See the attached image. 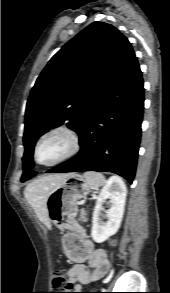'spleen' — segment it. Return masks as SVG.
<instances>
[{"label":"spleen","mask_w":170,"mask_h":293,"mask_svg":"<svg viewBox=\"0 0 170 293\" xmlns=\"http://www.w3.org/2000/svg\"><path fill=\"white\" fill-rule=\"evenodd\" d=\"M84 178L85 181L89 184V186L93 189H97L106 183L105 177L98 172H85Z\"/></svg>","instance_id":"3e777b00"}]
</instances>
